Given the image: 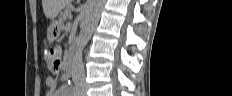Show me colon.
I'll use <instances>...</instances> for the list:
<instances>
[{
  "label": "colon",
  "instance_id": "colon-1",
  "mask_svg": "<svg viewBox=\"0 0 232 96\" xmlns=\"http://www.w3.org/2000/svg\"><path fill=\"white\" fill-rule=\"evenodd\" d=\"M46 59L53 71H58L61 66V60L58 49H51L46 53Z\"/></svg>",
  "mask_w": 232,
  "mask_h": 96
}]
</instances>
